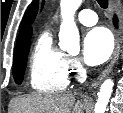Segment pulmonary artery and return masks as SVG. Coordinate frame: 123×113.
Segmentation results:
<instances>
[{
    "label": "pulmonary artery",
    "mask_w": 123,
    "mask_h": 113,
    "mask_svg": "<svg viewBox=\"0 0 123 113\" xmlns=\"http://www.w3.org/2000/svg\"><path fill=\"white\" fill-rule=\"evenodd\" d=\"M77 20L85 26H92L97 23L98 17L94 11L83 9L78 12Z\"/></svg>",
    "instance_id": "obj_1"
}]
</instances>
